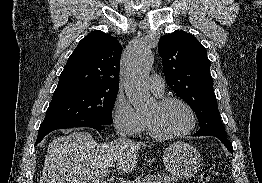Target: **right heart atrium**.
<instances>
[{
  "label": "right heart atrium",
  "instance_id": "1",
  "mask_svg": "<svg viewBox=\"0 0 262 183\" xmlns=\"http://www.w3.org/2000/svg\"><path fill=\"white\" fill-rule=\"evenodd\" d=\"M112 118L115 129L125 136H136L145 126L144 118L123 97L115 100Z\"/></svg>",
  "mask_w": 262,
  "mask_h": 183
}]
</instances>
